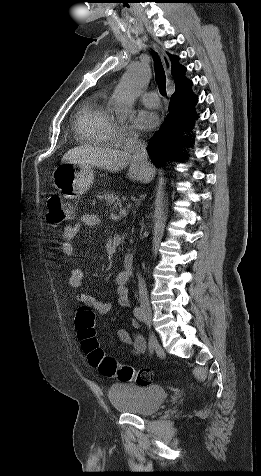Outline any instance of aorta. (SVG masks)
Masks as SVG:
<instances>
[{
    "mask_svg": "<svg viewBox=\"0 0 261 476\" xmlns=\"http://www.w3.org/2000/svg\"><path fill=\"white\" fill-rule=\"evenodd\" d=\"M148 75L141 67H130L113 94V110L118 120H125L133 113V102Z\"/></svg>",
    "mask_w": 261,
    "mask_h": 476,
    "instance_id": "aorta-1",
    "label": "aorta"
}]
</instances>
